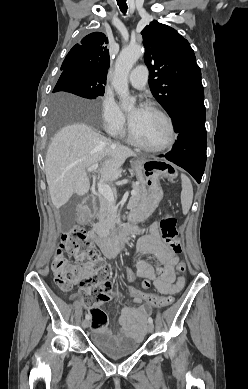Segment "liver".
Instances as JSON below:
<instances>
[{
	"label": "liver",
	"mask_w": 248,
	"mask_h": 389,
	"mask_svg": "<svg viewBox=\"0 0 248 389\" xmlns=\"http://www.w3.org/2000/svg\"><path fill=\"white\" fill-rule=\"evenodd\" d=\"M56 99L68 104L83 101L67 95ZM126 146L114 144L84 123L63 127L52 139L46 154L45 171L53 205L58 209L73 194L83 196L90 188L86 168L100 164L98 176L103 181L118 179L128 157L136 156Z\"/></svg>",
	"instance_id": "1"
}]
</instances>
